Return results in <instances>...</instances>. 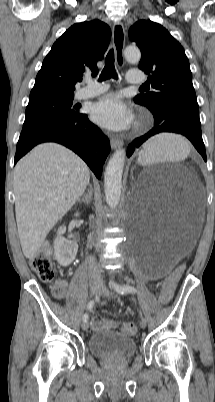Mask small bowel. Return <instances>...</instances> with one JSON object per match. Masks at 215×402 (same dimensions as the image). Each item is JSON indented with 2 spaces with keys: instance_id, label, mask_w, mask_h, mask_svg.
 <instances>
[{
  "instance_id": "small-bowel-1",
  "label": "small bowel",
  "mask_w": 215,
  "mask_h": 402,
  "mask_svg": "<svg viewBox=\"0 0 215 402\" xmlns=\"http://www.w3.org/2000/svg\"><path fill=\"white\" fill-rule=\"evenodd\" d=\"M57 287L61 290V292H63L65 284L63 282H59Z\"/></svg>"
}]
</instances>
